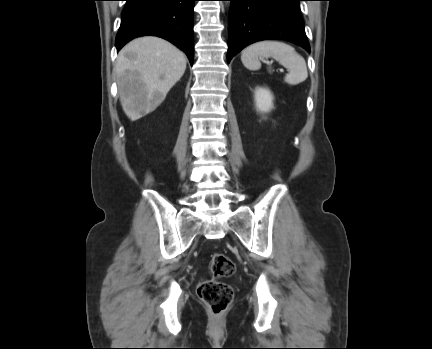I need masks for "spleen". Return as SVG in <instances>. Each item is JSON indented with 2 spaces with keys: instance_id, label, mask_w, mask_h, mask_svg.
<instances>
[{
  "instance_id": "3e777b00",
  "label": "spleen",
  "mask_w": 432,
  "mask_h": 349,
  "mask_svg": "<svg viewBox=\"0 0 432 349\" xmlns=\"http://www.w3.org/2000/svg\"><path fill=\"white\" fill-rule=\"evenodd\" d=\"M260 57H272L289 70L284 81L290 85H297L308 77L304 58L295 49L280 41H260L246 47L241 54L243 65L249 70L261 68Z\"/></svg>"
}]
</instances>
